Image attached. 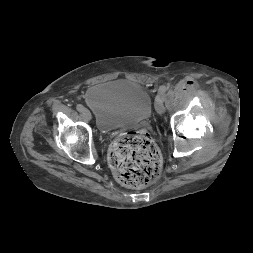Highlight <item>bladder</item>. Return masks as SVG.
I'll list each match as a JSON object with an SVG mask.
<instances>
[{"label": "bladder", "mask_w": 253, "mask_h": 253, "mask_svg": "<svg viewBox=\"0 0 253 253\" xmlns=\"http://www.w3.org/2000/svg\"><path fill=\"white\" fill-rule=\"evenodd\" d=\"M86 102L95 114L100 130L110 131L147 119L152 98L140 84L129 80L104 82L90 88Z\"/></svg>", "instance_id": "obj_1"}]
</instances>
